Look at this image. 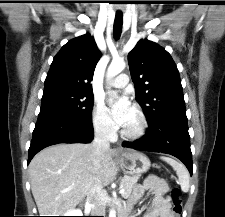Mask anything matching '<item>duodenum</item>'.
<instances>
[{
    "label": "duodenum",
    "mask_w": 225,
    "mask_h": 217,
    "mask_svg": "<svg viewBox=\"0 0 225 217\" xmlns=\"http://www.w3.org/2000/svg\"><path fill=\"white\" fill-rule=\"evenodd\" d=\"M119 217H128V216L125 214H121Z\"/></svg>",
    "instance_id": "duodenum-1"
}]
</instances>
